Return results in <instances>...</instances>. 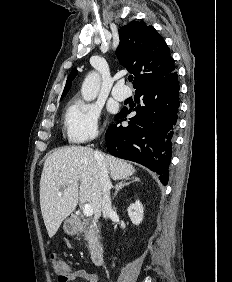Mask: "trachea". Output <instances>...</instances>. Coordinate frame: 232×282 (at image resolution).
I'll return each mask as SVG.
<instances>
[{"mask_svg":"<svg viewBox=\"0 0 232 282\" xmlns=\"http://www.w3.org/2000/svg\"><path fill=\"white\" fill-rule=\"evenodd\" d=\"M128 80L131 82L133 80V76L132 75L128 76Z\"/></svg>","mask_w":232,"mask_h":282,"instance_id":"3493384b","label":"trachea"}]
</instances>
